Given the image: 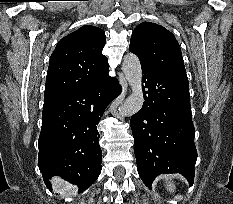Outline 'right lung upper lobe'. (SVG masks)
I'll use <instances>...</instances> for the list:
<instances>
[{"mask_svg": "<svg viewBox=\"0 0 233 204\" xmlns=\"http://www.w3.org/2000/svg\"><path fill=\"white\" fill-rule=\"evenodd\" d=\"M104 32L87 25L62 38L49 61L44 103L93 83L108 69Z\"/></svg>", "mask_w": 233, "mask_h": 204, "instance_id": "obj_1", "label": "right lung upper lobe"}]
</instances>
